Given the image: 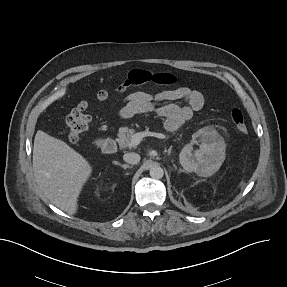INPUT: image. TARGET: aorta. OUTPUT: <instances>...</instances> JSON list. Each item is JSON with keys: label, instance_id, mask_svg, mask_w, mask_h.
<instances>
[{"label": "aorta", "instance_id": "1", "mask_svg": "<svg viewBox=\"0 0 287 287\" xmlns=\"http://www.w3.org/2000/svg\"><path fill=\"white\" fill-rule=\"evenodd\" d=\"M149 174L153 179H161L164 175V171L160 166H153L151 167Z\"/></svg>", "mask_w": 287, "mask_h": 287}]
</instances>
